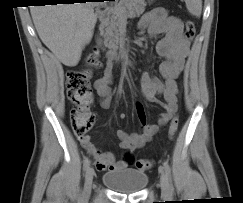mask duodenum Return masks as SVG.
I'll return each instance as SVG.
<instances>
[{
    "label": "duodenum",
    "mask_w": 243,
    "mask_h": 203,
    "mask_svg": "<svg viewBox=\"0 0 243 203\" xmlns=\"http://www.w3.org/2000/svg\"><path fill=\"white\" fill-rule=\"evenodd\" d=\"M106 19H107V11H104L100 15L99 22L100 23H103V22L106 21ZM97 42H98V45L99 46H101V47L104 46L103 39H102V37L99 34L97 35ZM119 56H120V54L116 50H114V49H110V50L107 51V59L109 61H114Z\"/></svg>",
    "instance_id": "1"
}]
</instances>
